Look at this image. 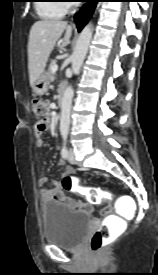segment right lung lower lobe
<instances>
[{
	"label": "right lung lower lobe",
	"instance_id": "98d812e1",
	"mask_svg": "<svg viewBox=\"0 0 158 275\" xmlns=\"http://www.w3.org/2000/svg\"><path fill=\"white\" fill-rule=\"evenodd\" d=\"M88 2H90L91 4L88 6H84L80 12H78L75 15V22L77 24V28L78 31L80 32L82 30V28L87 24V22L89 21L90 17L93 14L94 8L96 6V3L98 2V0H86Z\"/></svg>",
	"mask_w": 158,
	"mask_h": 275
}]
</instances>
